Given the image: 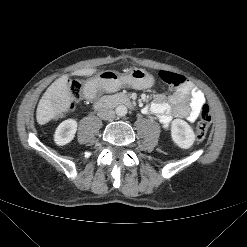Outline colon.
<instances>
[{
	"instance_id": "5ec220e1",
	"label": "colon",
	"mask_w": 247,
	"mask_h": 247,
	"mask_svg": "<svg viewBox=\"0 0 247 247\" xmlns=\"http://www.w3.org/2000/svg\"><path fill=\"white\" fill-rule=\"evenodd\" d=\"M159 77L166 85L172 88L178 87L186 82V78L184 76L166 70L160 71ZM70 92L72 97L75 100H78L82 92L81 83L77 80H73L70 83ZM211 122H212V117H211L210 108L208 105H204L202 109L201 118L195 132V138L197 141H201L205 138L211 126Z\"/></svg>"
}]
</instances>
